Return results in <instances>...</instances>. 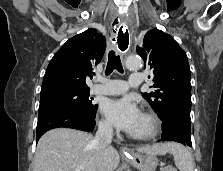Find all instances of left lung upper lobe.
I'll use <instances>...</instances> for the list:
<instances>
[{
  "label": "left lung upper lobe",
  "instance_id": "5c2ea615",
  "mask_svg": "<svg viewBox=\"0 0 223 171\" xmlns=\"http://www.w3.org/2000/svg\"><path fill=\"white\" fill-rule=\"evenodd\" d=\"M137 52L153 73L154 91L142 96L159 118L163 121L174 112L190 118V68L187 55L178 43L171 35L153 29L145 34Z\"/></svg>",
  "mask_w": 223,
  "mask_h": 171
}]
</instances>
